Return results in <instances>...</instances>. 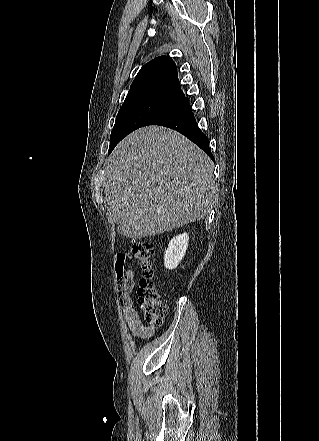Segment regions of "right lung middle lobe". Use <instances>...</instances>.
Listing matches in <instances>:
<instances>
[{
	"label": "right lung middle lobe",
	"instance_id": "right-lung-middle-lobe-1",
	"mask_svg": "<svg viewBox=\"0 0 319 441\" xmlns=\"http://www.w3.org/2000/svg\"><path fill=\"white\" fill-rule=\"evenodd\" d=\"M173 105L169 101L150 98L125 101L117 114L111 132L108 154L125 136L140 127L146 126L152 119Z\"/></svg>",
	"mask_w": 319,
	"mask_h": 441
}]
</instances>
